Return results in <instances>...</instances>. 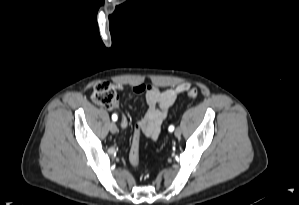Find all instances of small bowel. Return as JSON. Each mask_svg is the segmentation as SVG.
Returning a JSON list of instances; mask_svg holds the SVG:
<instances>
[{"label":"small bowel","instance_id":"c3829d8e","mask_svg":"<svg viewBox=\"0 0 299 205\" xmlns=\"http://www.w3.org/2000/svg\"><path fill=\"white\" fill-rule=\"evenodd\" d=\"M116 87L121 88L122 86L118 84ZM189 88V83H180L166 90H160L149 83L134 85L133 92L137 94L145 93L148 104L147 112L136 124L139 136L140 133H143L151 140L157 139L170 108L176 99ZM120 125L122 129H126L128 126V119L123 114H120Z\"/></svg>","mask_w":299,"mask_h":205}]
</instances>
